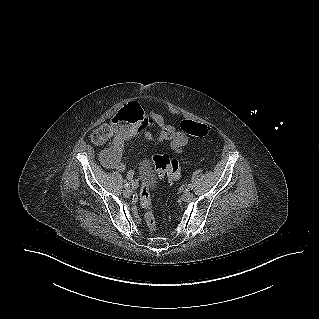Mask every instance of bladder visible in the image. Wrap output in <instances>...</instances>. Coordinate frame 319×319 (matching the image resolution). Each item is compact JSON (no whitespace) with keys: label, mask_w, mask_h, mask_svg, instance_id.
<instances>
[{"label":"bladder","mask_w":319,"mask_h":319,"mask_svg":"<svg viewBox=\"0 0 319 319\" xmlns=\"http://www.w3.org/2000/svg\"><path fill=\"white\" fill-rule=\"evenodd\" d=\"M140 176L142 180H145L147 184H151L152 182V175L150 173V167L146 163V161L142 162L140 165Z\"/></svg>","instance_id":"bladder-1"}]
</instances>
